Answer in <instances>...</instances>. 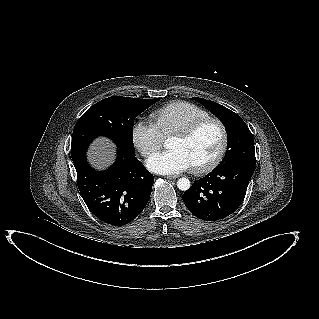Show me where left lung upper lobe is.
Instances as JSON below:
<instances>
[{
    "label": "left lung upper lobe",
    "instance_id": "obj_1",
    "mask_svg": "<svg viewBox=\"0 0 319 319\" xmlns=\"http://www.w3.org/2000/svg\"><path fill=\"white\" fill-rule=\"evenodd\" d=\"M194 99L211 111L226 128L228 135L227 151L218 167L232 162H246L256 165L254 139L240 116L213 101L198 97Z\"/></svg>",
    "mask_w": 319,
    "mask_h": 319
}]
</instances>
